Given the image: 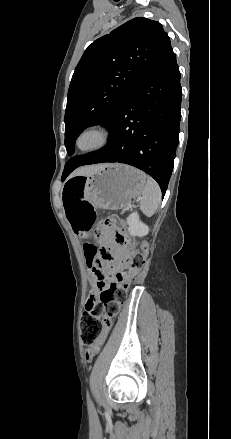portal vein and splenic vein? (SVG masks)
<instances>
[{"label": "portal vein and splenic vein", "mask_w": 231, "mask_h": 439, "mask_svg": "<svg viewBox=\"0 0 231 439\" xmlns=\"http://www.w3.org/2000/svg\"><path fill=\"white\" fill-rule=\"evenodd\" d=\"M132 207V205H129V208H131Z\"/></svg>", "instance_id": "18ae733b"}]
</instances>
